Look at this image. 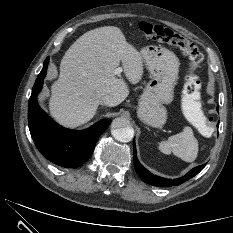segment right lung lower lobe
I'll return each mask as SVG.
<instances>
[{
	"label": "right lung lower lobe",
	"instance_id": "98d812e1",
	"mask_svg": "<svg viewBox=\"0 0 233 233\" xmlns=\"http://www.w3.org/2000/svg\"><path fill=\"white\" fill-rule=\"evenodd\" d=\"M49 58L34 84L28 106V123L31 136L38 150L56 165L75 168L92 155L95 144L110 121L101 120L83 131H73L55 123L39 107L37 95L43 86Z\"/></svg>",
	"mask_w": 233,
	"mask_h": 233
}]
</instances>
